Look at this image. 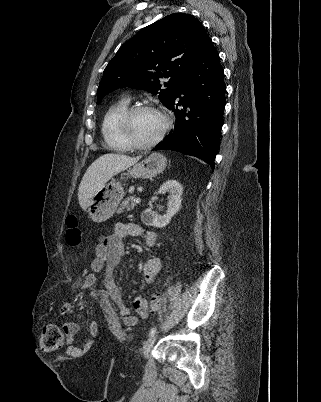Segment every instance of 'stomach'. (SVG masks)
Listing matches in <instances>:
<instances>
[{
    "mask_svg": "<svg viewBox=\"0 0 321 402\" xmlns=\"http://www.w3.org/2000/svg\"><path fill=\"white\" fill-rule=\"evenodd\" d=\"M167 160L160 153H152L141 162L129 168L123 174L122 179L133 177H150L164 171ZM124 188L119 181L112 180L104 184L102 188L90 199L88 214L94 222L108 220L115 213L119 203L124 197Z\"/></svg>",
    "mask_w": 321,
    "mask_h": 402,
    "instance_id": "obj_1",
    "label": "stomach"
}]
</instances>
